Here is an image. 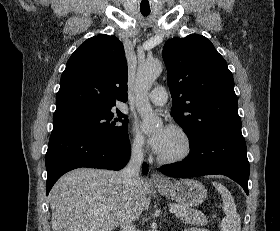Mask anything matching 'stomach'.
<instances>
[{"label": "stomach", "instance_id": "1", "mask_svg": "<svg viewBox=\"0 0 280 231\" xmlns=\"http://www.w3.org/2000/svg\"><path fill=\"white\" fill-rule=\"evenodd\" d=\"M155 187L161 195H166L185 207H195L203 203L207 195L206 187L197 179H176L169 181L168 187H162L158 183H155Z\"/></svg>", "mask_w": 280, "mask_h": 231}]
</instances>
